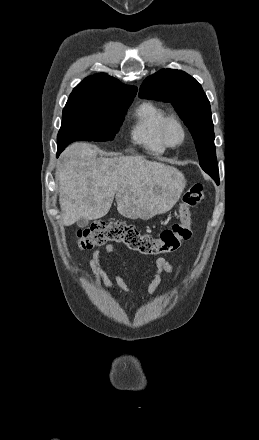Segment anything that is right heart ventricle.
I'll use <instances>...</instances> for the list:
<instances>
[{
    "mask_svg": "<svg viewBox=\"0 0 259 440\" xmlns=\"http://www.w3.org/2000/svg\"><path fill=\"white\" fill-rule=\"evenodd\" d=\"M167 115L166 109L155 102L141 103L133 114L131 140L151 154L164 153L167 147L161 140L160 126Z\"/></svg>",
    "mask_w": 259,
    "mask_h": 440,
    "instance_id": "1",
    "label": "right heart ventricle"
}]
</instances>
